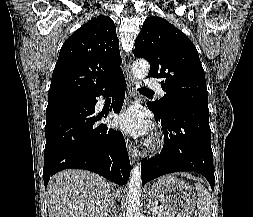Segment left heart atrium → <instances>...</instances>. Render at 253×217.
Masks as SVG:
<instances>
[{
    "instance_id": "left-heart-atrium-1",
    "label": "left heart atrium",
    "mask_w": 253,
    "mask_h": 217,
    "mask_svg": "<svg viewBox=\"0 0 253 217\" xmlns=\"http://www.w3.org/2000/svg\"><path fill=\"white\" fill-rule=\"evenodd\" d=\"M116 124L124 131L133 135H143L149 130L148 123L144 121L135 108H131L117 116Z\"/></svg>"
}]
</instances>
